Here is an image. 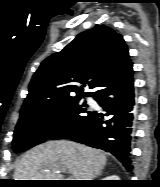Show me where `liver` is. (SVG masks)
Instances as JSON below:
<instances>
[{
	"label": "liver",
	"instance_id": "1",
	"mask_svg": "<svg viewBox=\"0 0 160 187\" xmlns=\"http://www.w3.org/2000/svg\"><path fill=\"white\" fill-rule=\"evenodd\" d=\"M106 154L71 141H49L29 150L15 168V180H62L67 171L74 180H94L106 165Z\"/></svg>",
	"mask_w": 160,
	"mask_h": 187
}]
</instances>
